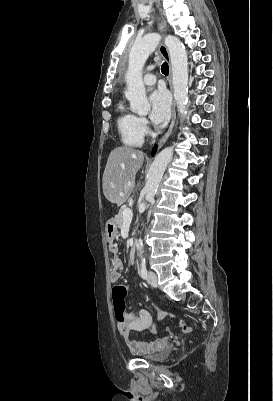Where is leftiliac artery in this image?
I'll use <instances>...</instances> for the list:
<instances>
[{"label":"left iliac artery","instance_id":"44dca946","mask_svg":"<svg viewBox=\"0 0 273 401\" xmlns=\"http://www.w3.org/2000/svg\"><path fill=\"white\" fill-rule=\"evenodd\" d=\"M140 274H141V277H142L143 279H146V278H147V269H146L145 258H143V259H142V262H141Z\"/></svg>","mask_w":273,"mask_h":401}]
</instances>
